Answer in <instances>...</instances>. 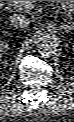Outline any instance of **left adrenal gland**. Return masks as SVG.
Wrapping results in <instances>:
<instances>
[{"label": "left adrenal gland", "mask_w": 74, "mask_h": 122, "mask_svg": "<svg viewBox=\"0 0 74 122\" xmlns=\"http://www.w3.org/2000/svg\"><path fill=\"white\" fill-rule=\"evenodd\" d=\"M62 28H63L65 31H68L69 26H68L67 24H64V25L62 26Z\"/></svg>", "instance_id": "a2214340"}]
</instances>
